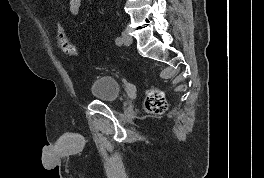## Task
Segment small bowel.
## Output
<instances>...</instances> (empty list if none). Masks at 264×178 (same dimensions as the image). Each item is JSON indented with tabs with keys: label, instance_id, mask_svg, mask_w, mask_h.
Masks as SVG:
<instances>
[{
	"label": "small bowel",
	"instance_id": "c3829d8e",
	"mask_svg": "<svg viewBox=\"0 0 264 178\" xmlns=\"http://www.w3.org/2000/svg\"><path fill=\"white\" fill-rule=\"evenodd\" d=\"M82 0H68L69 12L72 16H77L80 11Z\"/></svg>",
	"mask_w": 264,
	"mask_h": 178
}]
</instances>
